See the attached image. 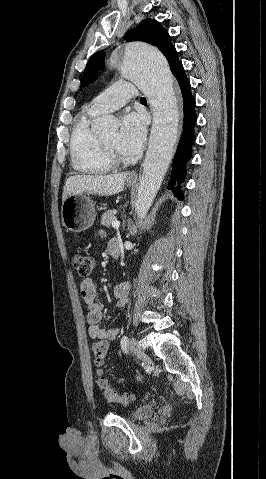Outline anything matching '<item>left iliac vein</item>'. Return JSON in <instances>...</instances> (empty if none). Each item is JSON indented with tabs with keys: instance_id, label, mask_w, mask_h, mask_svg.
I'll return each instance as SVG.
<instances>
[{
	"instance_id": "left-iliac-vein-1",
	"label": "left iliac vein",
	"mask_w": 266,
	"mask_h": 479,
	"mask_svg": "<svg viewBox=\"0 0 266 479\" xmlns=\"http://www.w3.org/2000/svg\"><path fill=\"white\" fill-rule=\"evenodd\" d=\"M129 348L132 354L138 356V357H143L145 355L144 350L142 349L140 343L135 339L132 338L129 342Z\"/></svg>"
}]
</instances>
